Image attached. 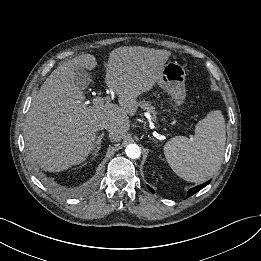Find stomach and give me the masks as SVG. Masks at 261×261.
<instances>
[{
  "label": "stomach",
  "instance_id": "0dacf381",
  "mask_svg": "<svg viewBox=\"0 0 261 261\" xmlns=\"http://www.w3.org/2000/svg\"><path fill=\"white\" fill-rule=\"evenodd\" d=\"M185 77L186 72L182 65L176 61L168 62L164 65L162 75L157 82L172 97L177 106H181L185 101Z\"/></svg>",
  "mask_w": 261,
  "mask_h": 261
}]
</instances>
